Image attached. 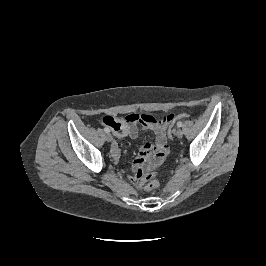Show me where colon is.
<instances>
[{"mask_svg": "<svg viewBox=\"0 0 266 266\" xmlns=\"http://www.w3.org/2000/svg\"><path fill=\"white\" fill-rule=\"evenodd\" d=\"M188 116L189 115L186 113H181L176 116V119H185ZM168 135L169 138H172L173 130L171 128L168 130ZM155 176L156 175L154 173H148L145 176L141 177L140 180L141 188H143L146 191H152L159 188V182L155 179Z\"/></svg>", "mask_w": 266, "mask_h": 266, "instance_id": "colon-1", "label": "colon"}]
</instances>
